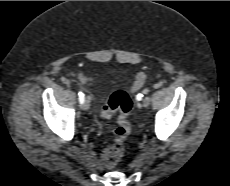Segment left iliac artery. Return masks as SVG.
Instances as JSON below:
<instances>
[{
  "label": "left iliac artery",
  "mask_w": 230,
  "mask_h": 186,
  "mask_svg": "<svg viewBox=\"0 0 230 186\" xmlns=\"http://www.w3.org/2000/svg\"><path fill=\"white\" fill-rule=\"evenodd\" d=\"M142 97H143V95L142 94H138V95H136V99L138 100V101H140V100H142Z\"/></svg>",
  "instance_id": "obj_1"
}]
</instances>
